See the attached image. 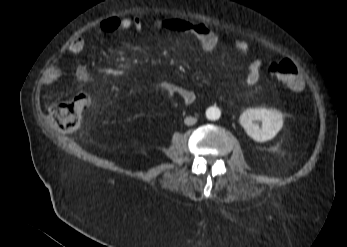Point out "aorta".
Segmentation results:
<instances>
[{
	"label": "aorta",
	"instance_id": "aorta-1",
	"mask_svg": "<svg viewBox=\"0 0 347 247\" xmlns=\"http://www.w3.org/2000/svg\"><path fill=\"white\" fill-rule=\"evenodd\" d=\"M206 117L209 120H218L220 118V110L215 108H209L206 112Z\"/></svg>",
	"mask_w": 347,
	"mask_h": 247
}]
</instances>
